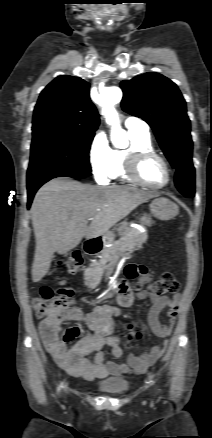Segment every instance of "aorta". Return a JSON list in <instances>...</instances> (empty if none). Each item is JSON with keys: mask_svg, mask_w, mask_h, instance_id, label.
Returning a JSON list of instances; mask_svg holds the SVG:
<instances>
[{"mask_svg": "<svg viewBox=\"0 0 212 438\" xmlns=\"http://www.w3.org/2000/svg\"><path fill=\"white\" fill-rule=\"evenodd\" d=\"M122 91L117 86H110L102 89L99 96V105L102 107V113L105 116L106 123L111 126V141L118 147L123 148L127 145L125 131L121 128L119 116L115 105L120 102Z\"/></svg>", "mask_w": 212, "mask_h": 438, "instance_id": "aorta-1", "label": "aorta"}]
</instances>
